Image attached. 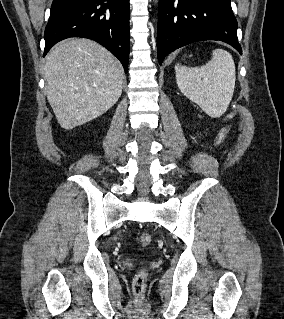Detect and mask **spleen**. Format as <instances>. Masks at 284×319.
I'll list each match as a JSON object with an SVG mask.
<instances>
[{"label": "spleen", "mask_w": 284, "mask_h": 319, "mask_svg": "<svg viewBox=\"0 0 284 319\" xmlns=\"http://www.w3.org/2000/svg\"><path fill=\"white\" fill-rule=\"evenodd\" d=\"M175 72L181 92L207 115L217 118L226 112L236 80L235 63L229 52L215 49L205 65L190 68L178 64Z\"/></svg>", "instance_id": "1"}]
</instances>
